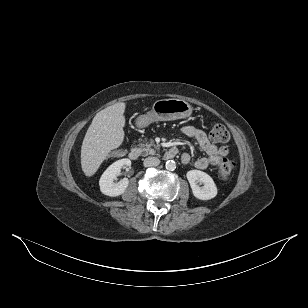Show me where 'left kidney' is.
Listing matches in <instances>:
<instances>
[{
  "instance_id": "left-kidney-1",
  "label": "left kidney",
  "mask_w": 308,
  "mask_h": 308,
  "mask_svg": "<svg viewBox=\"0 0 308 308\" xmlns=\"http://www.w3.org/2000/svg\"><path fill=\"white\" fill-rule=\"evenodd\" d=\"M186 177L190 183L193 195L200 200H210L217 195V187L213 179L200 170H190ZM203 184L200 187L197 183Z\"/></svg>"
}]
</instances>
